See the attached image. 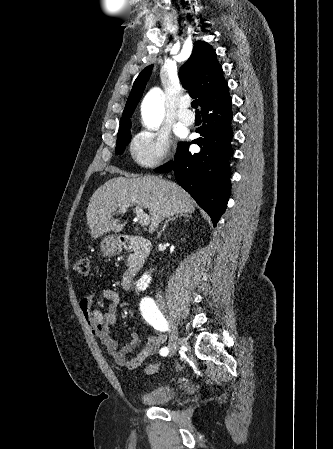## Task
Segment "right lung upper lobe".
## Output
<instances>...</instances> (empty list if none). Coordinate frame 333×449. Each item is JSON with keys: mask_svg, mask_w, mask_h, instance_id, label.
<instances>
[{"mask_svg": "<svg viewBox=\"0 0 333 449\" xmlns=\"http://www.w3.org/2000/svg\"><path fill=\"white\" fill-rule=\"evenodd\" d=\"M152 67L153 65L144 68L135 79L120 121L132 116L150 77ZM180 79L183 87L191 91L194 98H199L200 106L223 88L228 87L215 50L204 41L194 43L190 58L180 69Z\"/></svg>", "mask_w": 333, "mask_h": 449, "instance_id": "right-lung-upper-lobe-1", "label": "right lung upper lobe"}]
</instances>
